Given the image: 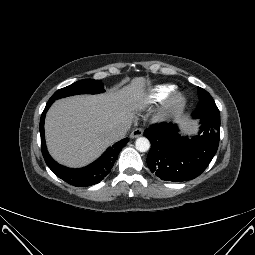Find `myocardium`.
<instances>
[{"mask_svg":"<svg viewBox=\"0 0 255 255\" xmlns=\"http://www.w3.org/2000/svg\"><path fill=\"white\" fill-rule=\"evenodd\" d=\"M187 103L186 96L181 92H174L171 94L164 104L160 118H169L181 112Z\"/></svg>","mask_w":255,"mask_h":255,"instance_id":"f54148a6","label":"myocardium"}]
</instances>
